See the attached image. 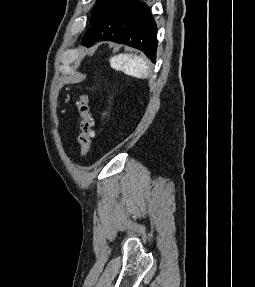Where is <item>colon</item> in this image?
Segmentation results:
<instances>
[{
	"label": "colon",
	"instance_id": "obj_1",
	"mask_svg": "<svg viewBox=\"0 0 255 287\" xmlns=\"http://www.w3.org/2000/svg\"><path fill=\"white\" fill-rule=\"evenodd\" d=\"M78 110L80 114V133L78 137L80 154L83 158H86L91 151L92 138L94 136L93 118L87 95H82L79 98Z\"/></svg>",
	"mask_w": 255,
	"mask_h": 287
}]
</instances>
